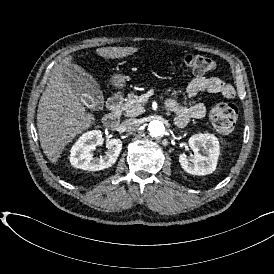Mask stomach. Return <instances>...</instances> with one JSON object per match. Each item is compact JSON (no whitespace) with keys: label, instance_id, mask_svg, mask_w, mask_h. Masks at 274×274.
I'll list each match as a JSON object with an SVG mask.
<instances>
[{"label":"stomach","instance_id":"stomach-1","mask_svg":"<svg viewBox=\"0 0 274 274\" xmlns=\"http://www.w3.org/2000/svg\"><path fill=\"white\" fill-rule=\"evenodd\" d=\"M126 78L122 74H114L111 78L113 87L122 89L125 86Z\"/></svg>","mask_w":274,"mask_h":274}]
</instances>
